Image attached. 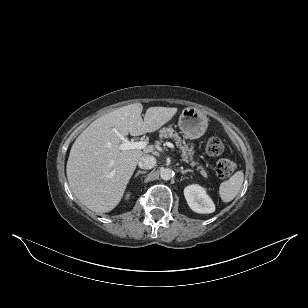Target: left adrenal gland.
I'll return each instance as SVG.
<instances>
[{"label":"left adrenal gland","instance_id":"left-adrenal-gland-1","mask_svg":"<svg viewBox=\"0 0 308 308\" xmlns=\"http://www.w3.org/2000/svg\"><path fill=\"white\" fill-rule=\"evenodd\" d=\"M181 173L182 174H186L187 172H193L192 170H190V169H186V170H184L183 168H181Z\"/></svg>","mask_w":308,"mask_h":308}]
</instances>
